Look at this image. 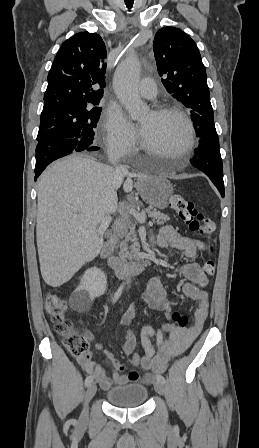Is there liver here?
Listing matches in <instances>:
<instances>
[{"label": "liver", "mask_w": 259, "mask_h": 448, "mask_svg": "<svg viewBox=\"0 0 259 448\" xmlns=\"http://www.w3.org/2000/svg\"><path fill=\"white\" fill-rule=\"evenodd\" d=\"M114 168L89 156H66L38 178L36 238L41 276L52 288L62 286L103 248L97 226L114 214L121 178ZM125 188H132L126 180ZM78 210V214H76Z\"/></svg>", "instance_id": "obj_1"}]
</instances>
